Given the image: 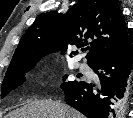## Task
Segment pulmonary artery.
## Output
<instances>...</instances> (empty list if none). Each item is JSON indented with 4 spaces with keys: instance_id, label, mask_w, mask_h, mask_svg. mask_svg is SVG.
<instances>
[{
    "instance_id": "obj_1",
    "label": "pulmonary artery",
    "mask_w": 133,
    "mask_h": 118,
    "mask_svg": "<svg viewBox=\"0 0 133 118\" xmlns=\"http://www.w3.org/2000/svg\"><path fill=\"white\" fill-rule=\"evenodd\" d=\"M78 67H79L80 71H82L84 73L91 74V69H90L89 65L86 62H80L78 64Z\"/></svg>"
}]
</instances>
